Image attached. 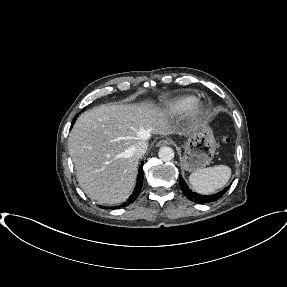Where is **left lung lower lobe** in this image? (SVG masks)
<instances>
[{
	"label": "left lung lower lobe",
	"mask_w": 287,
	"mask_h": 287,
	"mask_svg": "<svg viewBox=\"0 0 287 287\" xmlns=\"http://www.w3.org/2000/svg\"><path fill=\"white\" fill-rule=\"evenodd\" d=\"M179 184L180 188L183 191V193L187 196L188 199L195 203H210L213 201H217L219 198L223 196V194L228 190L229 186L223 189L222 191L213 194V195H199L193 191H191L188 186L186 185L184 179L180 176L179 177Z\"/></svg>",
	"instance_id": "left-lung-lower-lobe-1"
}]
</instances>
